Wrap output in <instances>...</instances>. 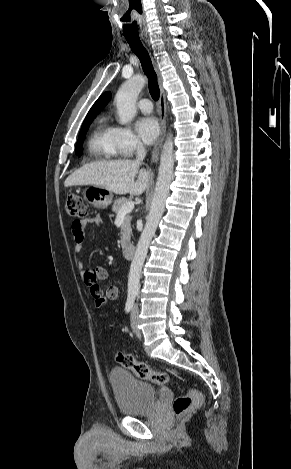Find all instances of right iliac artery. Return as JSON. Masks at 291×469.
<instances>
[{
    "label": "right iliac artery",
    "mask_w": 291,
    "mask_h": 469,
    "mask_svg": "<svg viewBox=\"0 0 291 469\" xmlns=\"http://www.w3.org/2000/svg\"><path fill=\"white\" fill-rule=\"evenodd\" d=\"M134 301H135V296L134 295H129L128 298H127V301H126V305H125V311L127 313H129L132 310L133 305H134Z\"/></svg>",
    "instance_id": "82829eb1"
}]
</instances>
